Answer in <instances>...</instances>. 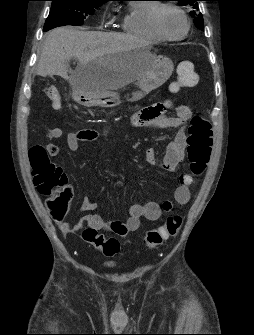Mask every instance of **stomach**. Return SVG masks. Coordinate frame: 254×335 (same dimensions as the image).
I'll use <instances>...</instances> for the list:
<instances>
[{
    "label": "stomach",
    "mask_w": 254,
    "mask_h": 335,
    "mask_svg": "<svg viewBox=\"0 0 254 335\" xmlns=\"http://www.w3.org/2000/svg\"><path fill=\"white\" fill-rule=\"evenodd\" d=\"M140 57H149L151 59V67L137 80L136 85L138 90L132 92L131 95L127 97L128 101L135 102L163 85L169 79L174 69V65L169 58L151 54L147 47L140 46L123 52L112 59L102 58L93 61L87 65V68L98 70L103 68L109 62ZM72 96L77 103L86 107L110 108L121 103L119 93L103 91L91 84L74 88Z\"/></svg>",
    "instance_id": "1"
}]
</instances>
